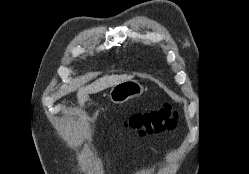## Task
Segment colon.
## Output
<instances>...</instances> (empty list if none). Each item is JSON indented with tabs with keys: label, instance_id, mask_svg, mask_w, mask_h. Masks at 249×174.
<instances>
[{
	"label": "colon",
	"instance_id": "5ec220e1",
	"mask_svg": "<svg viewBox=\"0 0 249 174\" xmlns=\"http://www.w3.org/2000/svg\"><path fill=\"white\" fill-rule=\"evenodd\" d=\"M176 121V112L170 105H165L158 110L136 113L125 120V125L145 135L172 129Z\"/></svg>",
	"mask_w": 249,
	"mask_h": 174
}]
</instances>
